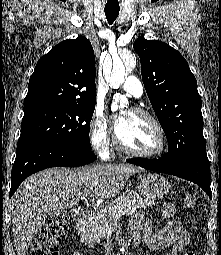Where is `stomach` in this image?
Listing matches in <instances>:
<instances>
[{"mask_svg": "<svg viewBox=\"0 0 221 255\" xmlns=\"http://www.w3.org/2000/svg\"><path fill=\"white\" fill-rule=\"evenodd\" d=\"M170 188L168 180L158 174L144 175L138 185L140 195L152 202L166 195Z\"/></svg>", "mask_w": 221, "mask_h": 255, "instance_id": "stomach-1", "label": "stomach"}]
</instances>
